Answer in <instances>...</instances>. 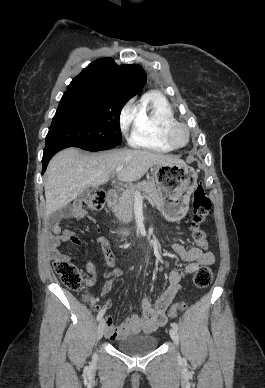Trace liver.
Returning <instances> with one entry per match:
<instances>
[{"mask_svg":"<svg viewBox=\"0 0 265 388\" xmlns=\"http://www.w3.org/2000/svg\"><path fill=\"white\" fill-rule=\"evenodd\" d=\"M157 164L186 166L183 160L150 150H122L97 156H81L76 148L62 150L52 158L45 176L46 216L48 218L50 214L65 208L86 188L106 184L118 166L126 168L117 172V180L137 182L149 168Z\"/></svg>","mask_w":265,"mask_h":388,"instance_id":"6515ba94","label":"liver"}]
</instances>
